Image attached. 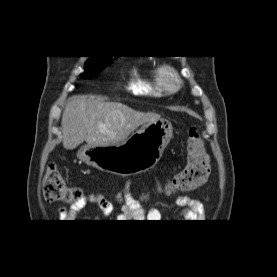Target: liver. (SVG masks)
I'll return each mask as SVG.
<instances>
[{"label":"liver","instance_id":"obj_1","mask_svg":"<svg viewBox=\"0 0 277 277\" xmlns=\"http://www.w3.org/2000/svg\"><path fill=\"white\" fill-rule=\"evenodd\" d=\"M160 118L159 114L138 112L121 103L103 102L96 96H73L62 115L63 147L72 150L84 141L89 146L118 144L139 126Z\"/></svg>","mask_w":277,"mask_h":277}]
</instances>
